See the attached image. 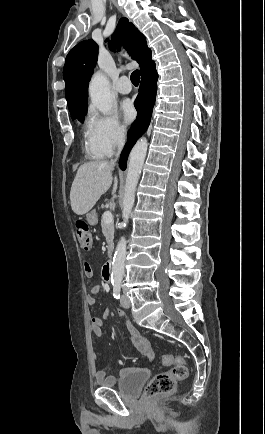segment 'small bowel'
<instances>
[{
    "mask_svg": "<svg viewBox=\"0 0 265 434\" xmlns=\"http://www.w3.org/2000/svg\"><path fill=\"white\" fill-rule=\"evenodd\" d=\"M101 292V287L99 285L93 286L89 293L86 295V304L89 307H92L95 304V297ZM118 314L125 320L126 326L128 328V331L130 333V338L127 340L130 345L137 348L140 352L151 355V344L150 341L141 335L140 331L133 326L130 321H128L126 318L128 317L127 313H124L122 311V307H117ZM110 311L106 309L102 316L99 317H93L91 319V330L95 337L99 338L102 336L103 333V325L105 321L109 318ZM95 379L98 382H101V385L103 387H112L113 380L112 378H106V373L103 369H101L98 365V360L95 359V371H94Z\"/></svg>",
    "mask_w": 265,
    "mask_h": 434,
    "instance_id": "c3829d8e",
    "label": "small bowel"
}]
</instances>
